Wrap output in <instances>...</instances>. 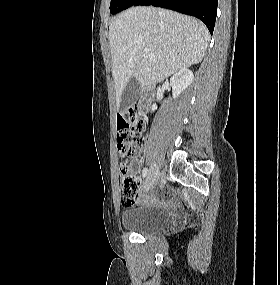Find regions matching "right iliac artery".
<instances>
[{"instance_id":"right-iliac-artery-1","label":"right iliac artery","mask_w":280,"mask_h":285,"mask_svg":"<svg viewBox=\"0 0 280 285\" xmlns=\"http://www.w3.org/2000/svg\"><path fill=\"white\" fill-rule=\"evenodd\" d=\"M147 172H148V169H147V168H144V169H143V172H142V176H143V178H145V177H146Z\"/></svg>"}]
</instances>
